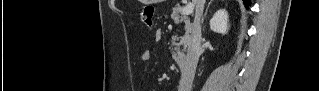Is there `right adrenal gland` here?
<instances>
[{
    "instance_id": "2a0ac1e0",
    "label": "right adrenal gland",
    "mask_w": 319,
    "mask_h": 91,
    "mask_svg": "<svg viewBox=\"0 0 319 91\" xmlns=\"http://www.w3.org/2000/svg\"><path fill=\"white\" fill-rule=\"evenodd\" d=\"M212 2H213V0H210V2L208 3V6H207V8H206V10H205V13H204V15H203V17H202V23L204 22V19H205L206 15H207L209 6H210V4H211Z\"/></svg>"
}]
</instances>
